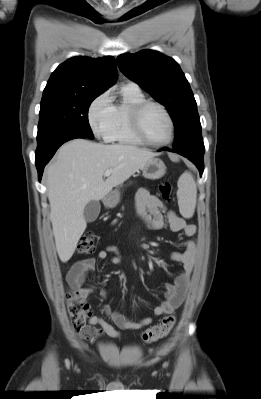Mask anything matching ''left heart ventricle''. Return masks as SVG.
I'll use <instances>...</instances> for the list:
<instances>
[{
	"mask_svg": "<svg viewBox=\"0 0 261 399\" xmlns=\"http://www.w3.org/2000/svg\"><path fill=\"white\" fill-rule=\"evenodd\" d=\"M143 129L149 139L163 142L169 138L170 126L164 113L157 107H148L142 115Z\"/></svg>",
	"mask_w": 261,
	"mask_h": 399,
	"instance_id": "obj_1",
	"label": "left heart ventricle"
}]
</instances>
